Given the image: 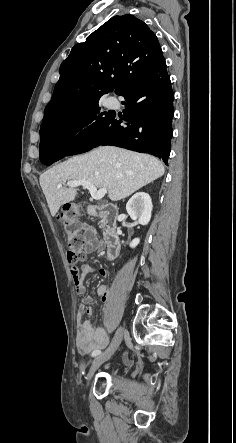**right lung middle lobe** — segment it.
I'll use <instances>...</instances> for the list:
<instances>
[{
  "mask_svg": "<svg viewBox=\"0 0 236 443\" xmlns=\"http://www.w3.org/2000/svg\"><path fill=\"white\" fill-rule=\"evenodd\" d=\"M99 99L43 120L40 128V148L70 145L104 122L113 111L102 112L98 107Z\"/></svg>",
  "mask_w": 236,
  "mask_h": 443,
  "instance_id": "dd1d6c3e",
  "label": "right lung middle lobe"
}]
</instances>
